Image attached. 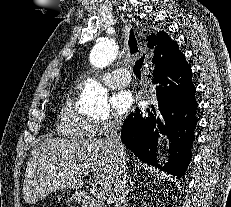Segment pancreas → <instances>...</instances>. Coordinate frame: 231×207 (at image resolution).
<instances>
[{
    "mask_svg": "<svg viewBox=\"0 0 231 207\" xmlns=\"http://www.w3.org/2000/svg\"><path fill=\"white\" fill-rule=\"evenodd\" d=\"M95 207H103L100 203L96 202Z\"/></svg>",
    "mask_w": 231,
    "mask_h": 207,
    "instance_id": "pancreas-1",
    "label": "pancreas"
}]
</instances>
